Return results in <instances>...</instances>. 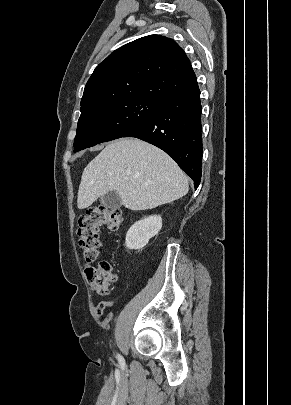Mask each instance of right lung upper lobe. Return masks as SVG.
Instances as JSON below:
<instances>
[{
	"instance_id": "cb5924a9",
	"label": "right lung upper lobe",
	"mask_w": 291,
	"mask_h": 405,
	"mask_svg": "<svg viewBox=\"0 0 291 405\" xmlns=\"http://www.w3.org/2000/svg\"><path fill=\"white\" fill-rule=\"evenodd\" d=\"M196 82L183 49L170 38L149 35L115 50L95 68L85 86L81 109L125 98L162 102Z\"/></svg>"
}]
</instances>
